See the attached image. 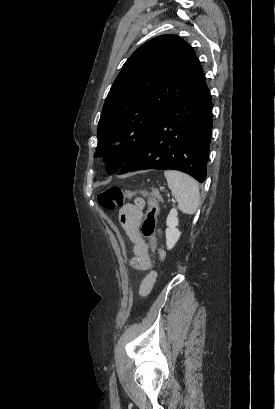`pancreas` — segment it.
I'll return each mask as SVG.
<instances>
[{"instance_id":"obj_1","label":"pancreas","mask_w":275,"mask_h":409,"mask_svg":"<svg viewBox=\"0 0 275 409\" xmlns=\"http://www.w3.org/2000/svg\"><path fill=\"white\" fill-rule=\"evenodd\" d=\"M152 194L158 198V200H161L163 202V198H161V194H159L158 190H155V188H152Z\"/></svg>"}]
</instances>
